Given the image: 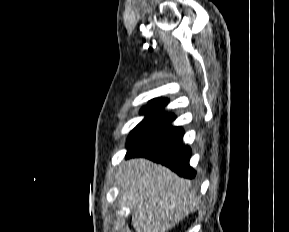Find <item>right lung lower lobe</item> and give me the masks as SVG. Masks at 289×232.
Returning a JSON list of instances; mask_svg holds the SVG:
<instances>
[{"instance_id":"1","label":"right lung lower lobe","mask_w":289,"mask_h":232,"mask_svg":"<svg viewBox=\"0 0 289 232\" xmlns=\"http://www.w3.org/2000/svg\"><path fill=\"white\" fill-rule=\"evenodd\" d=\"M181 127L167 125L139 142L127 146V157L143 156L166 165L180 176L194 178L196 172L189 165L191 149L183 145Z\"/></svg>"}]
</instances>
